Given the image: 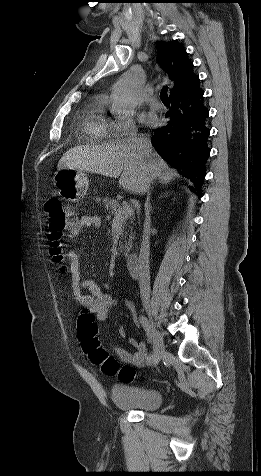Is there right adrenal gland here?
<instances>
[{
  "label": "right adrenal gland",
  "instance_id": "obj_1",
  "mask_svg": "<svg viewBox=\"0 0 261 476\" xmlns=\"http://www.w3.org/2000/svg\"><path fill=\"white\" fill-rule=\"evenodd\" d=\"M167 194H165L164 196H166ZM162 197V196H161ZM148 204H149V208L151 209V205H150V193H148L147 195V201H146Z\"/></svg>",
  "mask_w": 261,
  "mask_h": 476
}]
</instances>
